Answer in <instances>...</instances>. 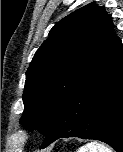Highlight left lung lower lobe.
Segmentation results:
<instances>
[{
  "label": "left lung lower lobe",
  "mask_w": 123,
  "mask_h": 152,
  "mask_svg": "<svg viewBox=\"0 0 123 152\" xmlns=\"http://www.w3.org/2000/svg\"><path fill=\"white\" fill-rule=\"evenodd\" d=\"M73 136L123 152V47L115 34L58 106L41 148Z\"/></svg>",
  "instance_id": "1"
}]
</instances>
